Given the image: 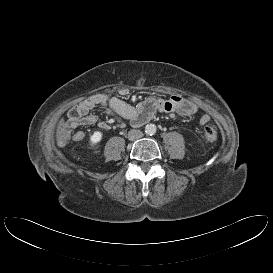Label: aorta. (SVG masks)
I'll return each instance as SVG.
<instances>
[{
    "instance_id": "obj_1",
    "label": "aorta",
    "mask_w": 273,
    "mask_h": 273,
    "mask_svg": "<svg viewBox=\"0 0 273 273\" xmlns=\"http://www.w3.org/2000/svg\"><path fill=\"white\" fill-rule=\"evenodd\" d=\"M145 133L147 135H154L156 133V126L154 124H147L145 126Z\"/></svg>"
}]
</instances>
